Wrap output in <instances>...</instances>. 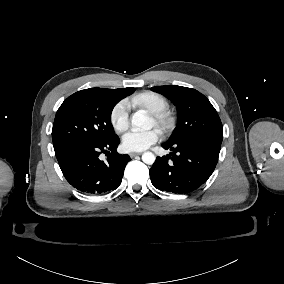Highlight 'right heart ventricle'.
<instances>
[{
  "label": "right heart ventricle",
  "mask_w": 284,
  "mask_h": 284,
  "mask_svg": "<svg viewBox=\"0 0 284 284\" xmlns=\"http://www.w3.org/2000/svg\"><path fill=\"white\" fill-rule=\"evenodd\" d=\"M139 103L154 114L166 111L169 107L167 99L154 91L142 93L138 99Z\"/></svg>",
  "instance_id": "obj_1"
}]
</instances>
